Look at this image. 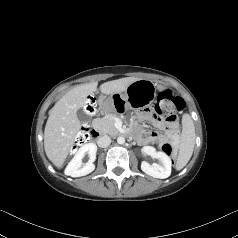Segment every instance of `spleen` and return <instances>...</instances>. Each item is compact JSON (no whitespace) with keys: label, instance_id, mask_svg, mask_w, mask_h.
I'll return each instance as SVG.
<instances>
[{"label":"spleen","instance_id":"3e777b00","mask_svg":"<svg viewBox=\"0 0 238 238\" xmlns=\"http://www.w3.org/2000/svg\"><path fill=\"white\" fill-rule=\"evenodd\" d=\"M182 135L176 169L181 170L190 160L195 145V127L189 114L182 117Z\"/></svg>","mask_w":238,"mask_h":238}]
</instances>
